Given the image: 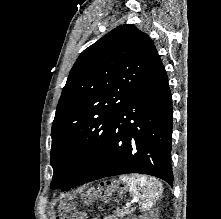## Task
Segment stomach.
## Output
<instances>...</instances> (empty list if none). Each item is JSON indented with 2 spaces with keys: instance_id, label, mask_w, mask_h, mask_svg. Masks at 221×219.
Instances as JSON below:
<instances>
[{
  "instance_id": "1",
  "label": "stomach",
  "mask_w": 221,
  "mask_h": 219,
  "mask_svg": "<svg viewBox=\"0 0 221 219\" xmlns=\"http://www.w3.org/2000/svg\"><path fill=\"white\" fill-rule=\"evenodd\" d=\"M108 183H111V186L108 190L111 192V195H124V190H117V184H115V178H108Z\"/></svg>"
}]
</instances>
